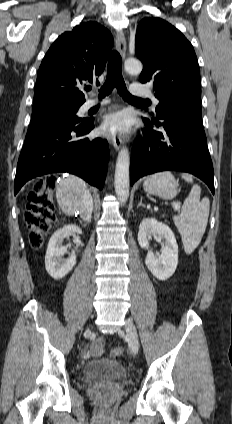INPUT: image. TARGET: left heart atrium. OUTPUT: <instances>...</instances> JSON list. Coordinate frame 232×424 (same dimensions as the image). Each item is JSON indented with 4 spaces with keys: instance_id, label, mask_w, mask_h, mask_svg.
Wrapping results in <instances>:
<instances>
[{
    "instance_id": "39dd6f15",
    "label": "left heart atrium",
    "mask_w": 232,
    "mask_h": 424,
    "mask_svg": "<svg viewBox=\"0 0 232 424\" xmlns=\"http://www.w3.org/2000/svg\"><path fill=\"white\" fill-rule=\"evenodd\" d=\"M131 120L126 112H115L104 117L101 130L110 136L125 134L129 131Z\"/></svg>"
}]
</instances>
